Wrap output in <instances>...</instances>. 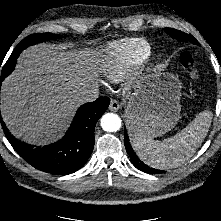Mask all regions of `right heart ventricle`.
Returning a JSON list of instances; mask_svg holds the SVG:
<instances>
[{
  "label": "right heart ventricle",
  "mask_w": 221,
  "mask_h": 221,
  "mask_svg": "<svg viewBox=\"0 0 221 221\" xmlns=\"http://www.w3.org/2000/svg\"><path fill=\"white\" fill-rule=\"evenodd\" d=\"M151 46L142 38L123 39L108 44L99 60L101 74L110 82L128 78L150 55Z\"/></svg>",
  "instance_id": "e07e8e85"
}]
</instances>
